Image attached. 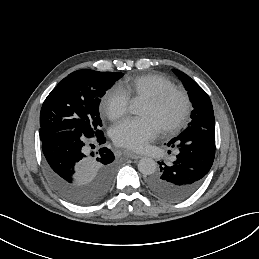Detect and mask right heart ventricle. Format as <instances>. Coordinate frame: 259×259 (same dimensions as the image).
Returning <instances> with one entry per match:
<instances>
[{
  "mask_svg": "<svg viewBox=\"0 0 259 259\" xmlns=\"http://www.w3.org/2000/svg\"><path fill=\"white\" fill-rule=\"evenodd\" d=\"M173 86L174 83L162 75H127L118 82L115 91L130 101L136 97L147 99Z\"/></svg>",
  "mask_w": 259,
  "mask_h": 259,
  "instance_id": "e07e8e85",
  "label": "right heart ventricle"
}]
</instances>
